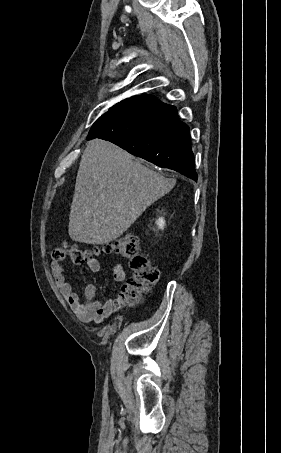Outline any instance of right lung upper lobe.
I'll return each instance as SVG.
<instances>
[{"label":"right lung upper lobe","mask_w":281,"mask_h":453,"mask_svg":"<svg viewBox=\"0 0 281 453\" xmlns=\"http://www.w3.org/2000/svg\"><path fill=\"white\" fill-rule=\"evenodd\" d=\"M135 98H136V97H135V96H133V97H131V98H128V99H125V100H123V101H121V102H124V101H127V100H132V99H135ZM121 102H120V103H121Z\"/></svg>","instance_id":"right-lung-upper-lobe-1"}]
</instances>
